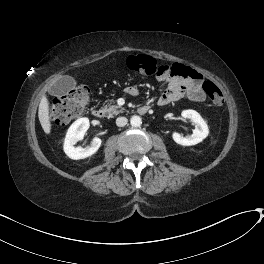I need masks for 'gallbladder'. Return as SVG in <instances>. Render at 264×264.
<instances>
[{
  "label": "gallbladder",
  "instance_id": "bac80fb5",
  "mask_svg": "<svg viewBox=\"0 0 264 264\" xmlns=\"http://www.w3.org/2000/svg\"><path fill=\"white\" fill-rule=\"evenodd\" d=\"M76 86V81L71 76H63L51 88L52 93L63 94Z\"/></svg>",
  "mask_w": 264,
  "mask_h": 264
}]
</instances>
